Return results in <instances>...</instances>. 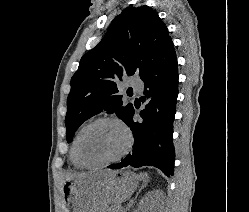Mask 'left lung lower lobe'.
Here are the masks:
<instances>
[{
	"mask_svg": "<svg viewBox=\"0 0 249 212\" xmlns=\"http://www.w3.org/2000/svg\"><path fill=\"white\" fill-rule=\"evenodd\" d=\"M141 79L145 84L141 101H146L145 109L140 111L142 120L133 119V105L123 119L134 135L133 152L108 168L150 165L170 177L175 161L172 138L178 96L177 58L172 41L163 47Z\"/></svg>",
	"mask_w": 249,
	"mask_h": 212,
	"instance_id": "1",
	"label": "left lung lower lobe"
}]
</instances>
